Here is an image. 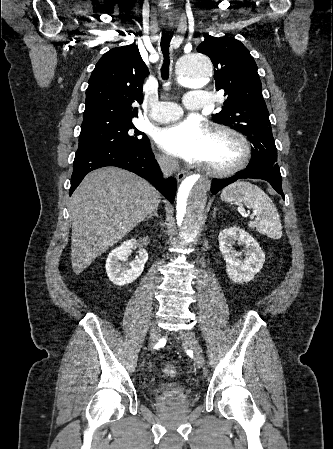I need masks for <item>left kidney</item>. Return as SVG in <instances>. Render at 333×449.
<instances>
[{
    "mask_svg": "<svg viewBox=\"0 0 333 449\" xmlns=\"http://www.w3.org/2000/svg\"><path fill=\"white\" fill-rule=\"evenodd\" d=\"M219 249L226 261V271L229 278L237 283L251 281L255 274L263 267L265 254L258 242L247 232L230 227L220 232ZM245 245L247 257L244 260L237 259L238 252L234 245Z\"/></svg>",
    "mask_w": 333,
    "mask_h": 449,
    "instance_id": "1",
    "label": "left kidney"
}]
</instances>
